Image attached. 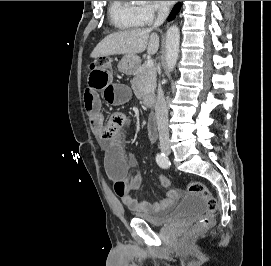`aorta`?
Wrapping results in <instances>:
<instances>
[{"instance_id":"aorta-1","label":"aorta","mask_w":271,"mask_h":266,"mask_svg":"<svg viewBox=\"0 0 271 266\" xmlns=\"http://www.w3.org/2000/svg\"><path fill=\"white\" fill-rule=\"evenodd\" d=\"M142 2V1H136ZM180 31L176 25L168 28L166 32V66L169 71H173L179 56Z\"/></svg>"}]
</instances>
